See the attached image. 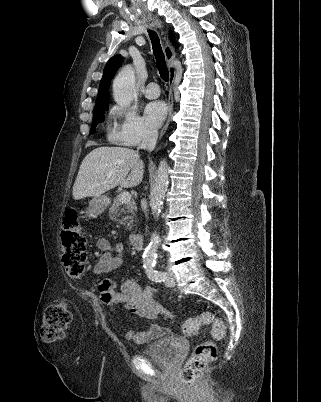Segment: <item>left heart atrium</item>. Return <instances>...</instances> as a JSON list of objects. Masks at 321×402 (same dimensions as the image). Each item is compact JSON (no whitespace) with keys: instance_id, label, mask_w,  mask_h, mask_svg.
Wrapping results in <instances>:
<instances>
[{"instance_id":"39dd6f15","label":"left heart atrium","mask_w":321,"mask_h":402,"mask_svg":"<svg viewBox=\"0 0 321 402\" xmlns=\"http://www.w3.org/2000/svg\"><path fill=\"white\" fill-rule=\"evenodd\" d=\"M167 115V106L162 101L150 102L146 105L144 116L147 124L152 128H158Z\"/></svg>"}]
</instances>
